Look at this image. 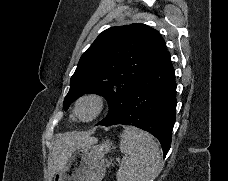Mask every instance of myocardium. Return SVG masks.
Returning <instances> with one entry per match:
<instances>
[{"instance_id": "1", "label": "myocardium", "mask_w": 228, "mask_h": 181, "mask_svg": "<svg viewBox=\"0 0 228 181\" xmlns=\"http://www.w3.org/2000/svg\"><path fill=\"white\" fill-rule=\"evenodd\" d=\"M101 99L98 96H85L81 98L76 105V113L79 115L83 106L89 108V117L87 119L94 118L100 111Z\"/></svg>"}]
</instances>
